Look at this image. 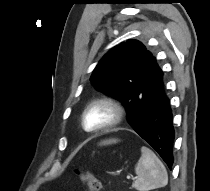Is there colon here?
Here are the masks:
<instances>
[{"mask_svg":"<svg viewBox=\"0 0 210 191\" xmlns=\"http://www.w3.org/2000/svg\"><path fill=\"white\" fill-rule=\"evenodd\" d=\"M78 174L81 182L88 191H99L100 181L94 174L89 171H79Z\"/></svg>","mask_w":210,"mask_h":191,"instance_id":"1","label":"colon"}]
</instances>
